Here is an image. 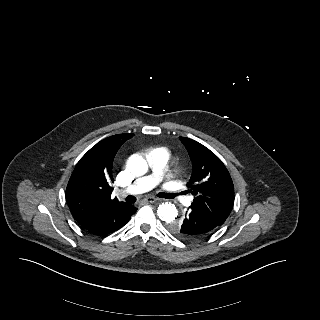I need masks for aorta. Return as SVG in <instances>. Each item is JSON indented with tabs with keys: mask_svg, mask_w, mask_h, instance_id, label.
<instances>
[{
	"mask_svg": "<svg viewBox=\"0 0 320 320\" xmlns=\"http://www.w3.org/2000/svg\"><path fill=\"white\" fill-rule=\"evenodd\" d=\"M127 167L129 171L137 177L143 176L148 172L147 161L138 153L129 157L127 161ZM157 215L161 221L169 224L176 220L178 211L174 204L165 202L159 205L157 209Z\"/></svg>",
	"mask_w": 320,
	"mask_h": 320,
	"instance_id": "obj_1",
	"label": "aorta"
}]
</instances>
